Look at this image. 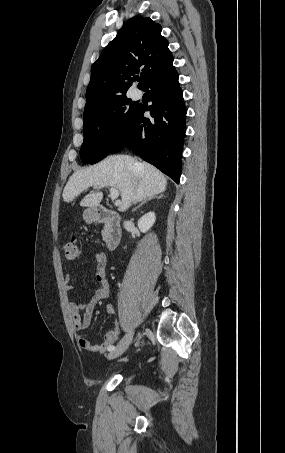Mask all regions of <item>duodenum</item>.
<instances>
[{
  "instance_id": "obj_1",
  "label": "duodenum",
  "mask_w": 285,
  "mask_h": 453,
  "mask_svg": "<svg viewBox=\"0 0 285 453\" xmlns=\"http://www.w3.org/2000/svg\"><path fill=\"white\" fill-rule=\"evenodd\" d=\"M92 218L95 222L105 225L104 242L109 250L117 248L121 241L122 229L120 217L103 206L94 208Z\"/></svg>"
}]
</instances>
